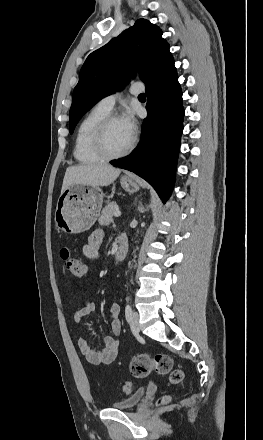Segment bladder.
I'll list each match as a JSON object with an SVG mask.
<instances>
[{
    "label": "bladder",
    "mask_w": 263,
    "mask_h": 440,
    "mask_svg": "<svg viewBox=\"0 0 263 440\" xmlns=\"http://www.w3.org/2000/svg\"><path fill=\"white\" fill-rule=\"evenodd\" d=\"M145 395V390L139 388L129 396L113 403V408L117 410H132L136 408Z\"/></svg>",
    "instance_id": "31cf9c89"
}]
</instances>
